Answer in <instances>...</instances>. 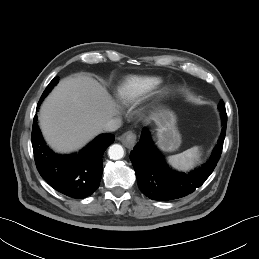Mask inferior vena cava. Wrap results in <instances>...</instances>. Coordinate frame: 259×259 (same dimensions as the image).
Returning a JSON list of instances; mask_svg holds the SVG:
<instances>
[{
	"label": "inferior vena cava",
	"instance_id": "inferior-vena-cava-1",
	"mask_svg": "<svg viewBox=\"0 0 259 259\" xmlns=\"http://www.w3.org/2000/svg\"><path fill=\"white\" fill-rule=\"evenodd\" d=\"M120 125L121 120L119 118H112L103 125V130L108 132L116 131Z\"/></svg>",
	"mask_w": 259,
	"mask_h": 259
}]
</instances>
